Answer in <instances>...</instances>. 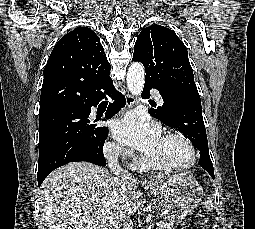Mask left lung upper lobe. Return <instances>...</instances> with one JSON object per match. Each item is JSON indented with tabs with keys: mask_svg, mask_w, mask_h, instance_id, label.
<instances>
[{
	"mask_svg": "<svg viewBox=\"0 0 255 229\" xmlns=\"http://www.w3.org/2000/svg\"><path fill=\"white\" fill-rule=\"evenodd\" d=\"M132 61L141 62L146 71L145 83L171 89L184 97L200 99L188 52L183 42L169 28L151 25L139 34ZM153 114L165 125L182 133L199 150L208 149L207 136H198L179 129L170 121L165 105L153 109Z\"/></svg>",
	"mask_w": 255,
	"mask_h": 229,
	"instance_id": "5c2ea615",
	"label": "left lung upper lobe"
}]
</instances>
